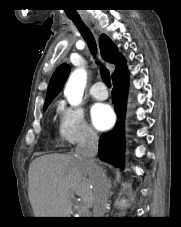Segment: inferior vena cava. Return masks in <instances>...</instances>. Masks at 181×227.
<instances>
[{"mask_svg": "<svg viewBox=\"0 0 181 227\" xmlns=\"http://www.w3.org/2000/svg\"><path fill=\"white\" fill-rule=\"evenodd\" d=\"M98 141L99 138L96 132L92 129H87L84 139L77 145L75 153L94 171L93 217H104L110 185L105 173L94 161V157L98 152Z\"/></svg>", "mask_w": 181, "mask_h": 227, "instance_id": "1", "label": "inferior vena cava"}]
</instances>
